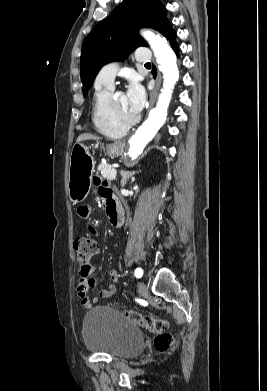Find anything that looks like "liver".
Instances as JSON below:
<instances>
[{
  "instance_id": "liver-1",
  "label": "liver",
  "mask_w": 267,
  "mask_h": 391,
  "mask_svg": "<svg viewBox=\"0 0 267 391\" xmlns=\"http://www.w3.org/2000/svg\"><path fill=\"white\" fill-rule=\"evenodd\" d=\"M96 139H98L97 136H94V135L88 134V133H84V134H81L80 136H78L76 142L79 143L84 140H96Z\"/></svg>"
}]
</instances>
